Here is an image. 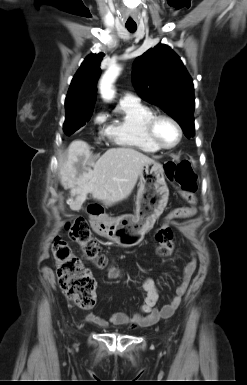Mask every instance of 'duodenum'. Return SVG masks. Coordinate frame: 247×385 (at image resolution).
Instances as JSON below:
<instances>
[{"label": "duodenum", "instance_id": "1", "mask_svg": "<svg viewBox=\"0 0 247 385\" xmlns=\"http://www.w3.org/2000/svg\"><path fill=\"white\" fill-rule=\"evenodd\" d=\"M91 214L95 217V221L93 223V227L97 228L99 225L103 226L107 223V221L103 220L100 216L102 214V210L98 207H94L93 210L90 211Z\"/></svg>", "mask_w": 247, "mask_h": 385}]
</instances>
